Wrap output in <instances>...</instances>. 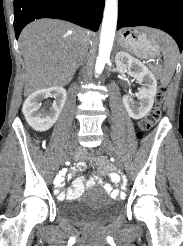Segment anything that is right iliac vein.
<instances>
[{
	"label": "right iliac vein",
	"instance_id": "right-iliac-vein-1",
	"mask_svg": "<svg viewBox=\"0 0 183 246\" xmlns=\"http://www.w3.org/2000/svg\"><path fill=\"white\" fill-rule=\"evenodd\" d=\"M75 143H76V133H74L72 135V138L70 140V144H69V148L70 150L73 149L75 147Z\"/></svg>",
	"mask_w": 183,
	"mask_h": 246
}]
</instances>
